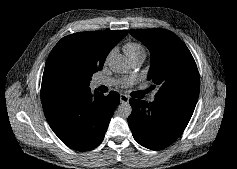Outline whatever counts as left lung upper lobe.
Returning a JSON list of instances; mask_svg holds the SVG:
<instances>
[{"instance_id": "5c2ea615", "label": "left lung upper lobe", "mask_w": 237, "mask_h": 169, "mask_svg": "<svg viewBox=\"0 0 237 169\" xmlns=\"http://www.w3.org/2000/svg\"><path fill=\"white\" fill-rule=\"evenodd\" d=\"M130 33L150 50L148 80L159 88L155 98L196 104L200 88L199 73L185 43L165 29H138L130 30Z\"/></svg>"}]
</instances>
